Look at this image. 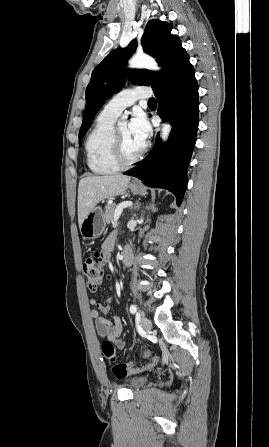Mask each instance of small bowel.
<instances>
[{"instance_id": "1", "label": "small bowel", "mask_w": 269, "mask_h": 447, "mask_svg": "<svg viewBox=\"0 0 269 447\" xmlns=\"http://www.w3.org/2000/svg\"><path fill=\"white\" fill-rule=\"evenodd\" d=\"M114 241L115 235L111 234L103 245V249L105 252H109L112 249ZM111 302L112 299H108L105 304H102L99 303L96 298H91V305L96 307L95 310L91 311V317L94 318L96 321V329L98 334L102 338H107L108 340L114 342L118 348L123 349L125 347V342L120 339V335L123 330L120 318L114 316L113 321H110L102 315L107 314L110 311ZM144 357L147 358L148 356Z\"/></svg>"}]
</instances>
